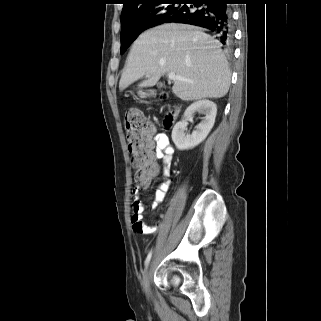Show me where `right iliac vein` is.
I'll list each match as a JSON object with an SVG mask.
<instances>
[{"mask_svg": "<svg viewBox=\"0 0 321 321\" xmlns=\"http://www.w3.org/2000/svg\"><path fill=\"white\" fill-rule=\"evenodd\" d=\"M151 276H152V265L149 264L144 276V281H143V287L146 293L149 292V284H150Z\"/></svg>", "mask_w": 321, "mask_h": 321, "instance_id": "obj_1", "label": "right iliac vein"}]
</instances>
